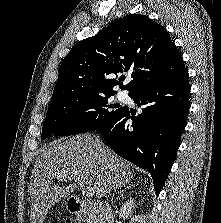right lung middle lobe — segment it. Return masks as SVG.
<instances>
[{
	"mask_svg": "<svg viewBox=\"0 0 221 223\" xmlns=\"http://www.w3.org/2000/svg\"><path fill=\"white\" fill-rule=\"evenodd\" d=\"M114 93L82 94L51 102L43 125L41 139L50 134L70 136L93 131L118 115L124 107L110 104ZM92 109L89 112H85Z\"/></svg>",
	"mask_w": 221,
	"mask_h": 223,
	"instance_id": "right-lung-middle-lobe-1",
	"label": "right lung middle lobe"
}]
</instances>
